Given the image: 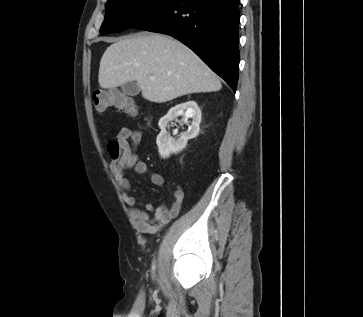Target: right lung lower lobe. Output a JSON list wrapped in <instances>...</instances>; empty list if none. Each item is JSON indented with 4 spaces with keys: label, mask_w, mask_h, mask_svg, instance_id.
<instances>
[{
    "label": "right lung lower lobe",
    "mask_w": 363,
    "mask_h": 317,
    "mask_svg": "<svg viewBox=\"0 0 363 317\" xmlns=\"http://www.w3.org/2000/svg\"><path fill=\"white\" fill-rule=\"evenodd\" d=\"M240 0H177L134 28L167 34L193 50L236 91Z\"/></svg>",
    "instance_id": "98d812e1"
}]
</instances>
